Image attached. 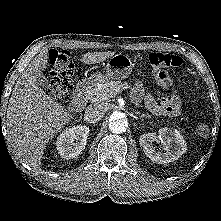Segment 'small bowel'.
Here are the masks:
<instances>
[{
  "label": "small bowel",
  "mask_w": 221,
  "mask_h": 221,
  "mask_svg": "<svg viewBox=\"0 0 221 221\" xmlns=\"http://www.w3.org/2000/svg\"><path fill=\"white\" fill-rule=\"evenodd\" d=\"M143 97L146 107L154 114L176 116L180 113V100L176 94H171L164 97L160 102H157L152 95H145L142 84L136 82L132 90V98L135 101H139Z\"/></svg>",
  "instance_id": "small-bowel-1"
}]
</instances>
